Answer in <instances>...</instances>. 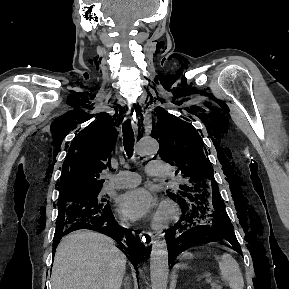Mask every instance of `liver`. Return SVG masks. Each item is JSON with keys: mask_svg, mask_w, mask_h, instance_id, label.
<instances>
[{"mask_svg": "<svg viewBox=\"0 0 289 289\" xmlns=\"http://www.w3.org/2000/svg\"><path fill=\"white\" fill-rule=\"evenodd\" d=\"M126 256L112 239L79 230L59 243L52 267V289H120Z\"/></svg>", "mask_w": 289, "mask_h": 289, "instance_id": "liver-1", "label": "liver"}]
</instances>
